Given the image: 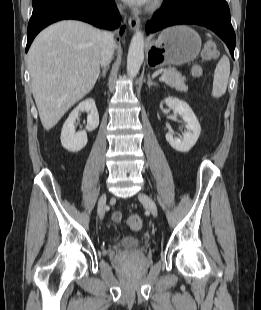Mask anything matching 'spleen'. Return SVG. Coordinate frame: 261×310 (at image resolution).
Segmentation results:
<instances>
[{"label": "spleen", "mask_w": 261, "mask_h": 310, "mask_svg": "<svg viewBox=\"0 0 261 310\" xmlns=\"http://www.w3.org/2000/svg\"><path fill=\"white\" fill-rule=\"evenodd\" d=\"M230 75V62L227 56H223L214 71L212 96L219 98L225 94Z\"/></svg>", "instance_id": "spleen-1"}]
</instances>
